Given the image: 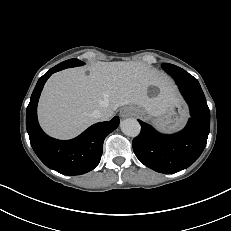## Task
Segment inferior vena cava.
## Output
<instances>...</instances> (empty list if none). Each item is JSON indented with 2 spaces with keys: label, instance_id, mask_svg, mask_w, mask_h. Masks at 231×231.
I'll return each instance as SVG.
<instances>
[{
  "label": "inferior vena cava",
  "instance_id": "602c4592",
  "mask_svg": "<svg viewBox=\"0 0 231 231\" xmlns=\"http://www.w3.org/2000/svg\"><path fill=\"white\" fill-rule=\"evenodd\" d=\"M113 111L110 109L102 108L93 112V117L97 121H107L113 116Z\"/></svg>",
  "mask_w": 231,
  "mask_h": 231
}]
</instances>
